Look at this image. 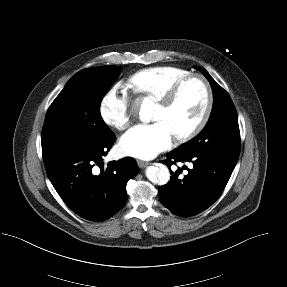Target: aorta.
<instances>
[{"label":"aorta","instance_id":"obj_1","mask_svg":"<svg viewBox=\"0 0 287 287\" xmlns=\"http://www.w3.org/2000/svg\"><path fill=\"white\" fill-rule=\"evenodd\" d=\"M151 107L148 103H143L140 110V115L143 120L150 119ZM146 177L155 184L165 185L170 180V172L165 165L149 166L146 169Z\"/></svg>","mask_w":287,"mask_h":287}]
</instances>
